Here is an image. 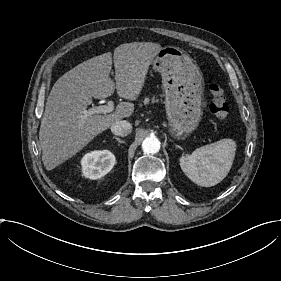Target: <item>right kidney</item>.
I'll return each mask as SVG.
<instances>
[{"label":"right kidney","mask_w":281,"mask_h":281,"mask_svg":"<svg viewBox=\"0 0 281 281\" xmlns=\"http://www.w3.org/2000/svg\"><path fill=\"white\" fill-rule=\"evenodd\" d=\"M115 163V156L109 150H94L82 157V174L86 178L96 180L110 172Z\"/></svg>","instance_id":"ca27d5eb"}]
</instances>
